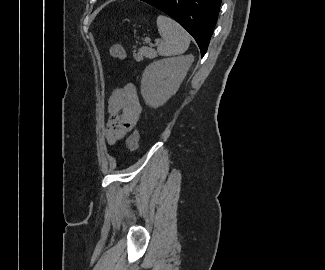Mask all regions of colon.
Returning a JSON list of instances; mask_svg holds the SVG:
<instances>
[{
  "mask_svg": "<svg viewBox=\"0 0 325 270\" xmlns=\"http://www.w3.org/2000/svg\"><path fill=\"white\" fill-rule=\"evenodd\" d=\"M110 55L112 58L119 59V60H125L127 57L125 49L118 44H115L110 48ZM139 138H140L139 130L136 129L132 132V134L129 136L126 142L129 151H133L138 147Z\"/></svg>",
  "mask_w": 325,
  "mask_h": 270,
  "instance_id": "obj_1",
  "label": "colon"
}]
</instances>
